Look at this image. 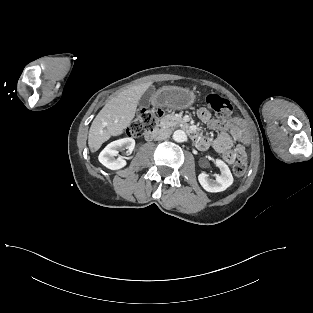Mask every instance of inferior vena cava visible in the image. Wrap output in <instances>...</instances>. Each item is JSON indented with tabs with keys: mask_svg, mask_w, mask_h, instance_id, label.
<instances>
[{
	"mask_svg": "<svg viewBox=\"0 0 313 313\" xmlns=\"http://www.w3.org/2000/svg\"><path fill=\"white\" fill-rule=\"evenodd\" d=\"M171 134V130L170 129H166L163 130L162 132H160L157 136H156V140H164L166 138H168Z\"/></svg>",
	"mask_w": 313,
	"mask_h": 313,
	"instance_id": "obj_1",
	"label": "inferior vena cava"
}]
</instances>
